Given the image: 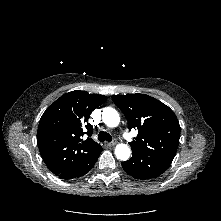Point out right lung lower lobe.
I'll use <instances>...</instances> for the list:
<instances>
[{
	"instance_id": "98d812e1",
	"label": "right lung lower lobe",
	"mask_w": 221,
	"mask_h": 221,
	"mask_svg": "<svg viewBox=\"0 0 221 221\" xmlns=\"http://www.w3.org/2000/svg\"><path fill=\"white\" fill-rule=\"evenodd\" d=\"M101 152L102 148L88 155L87 157L67 168L63 172L57 174V176L61 179H74L85 175L95 165Z\"/></svg>"
}]
</instances>
